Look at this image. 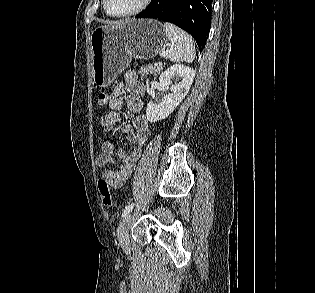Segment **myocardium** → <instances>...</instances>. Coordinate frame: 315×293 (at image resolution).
I'll use <instances>...</instances> for the list:
<instances>
[{
	"label": "myocardium",
	"mask_w": 315,
	"mask_h": 293,
	"mask_svg": "<svg viewBox=\"0 0 315 293\" xmlns=\"http://www.w3.org/2000/svg\"><path fill=\"white\" fill-rule=\"evenodd\" d=\"M152 0H142L141 4L134 10L124 13V14H113L110 12L108 8V0H103V8L107 15L114 17V18H126L130 16L137 15L141 12H143L151 3Z\"/></svg>",
	"instance_id": "myocardium-1"
}]
</instances>
